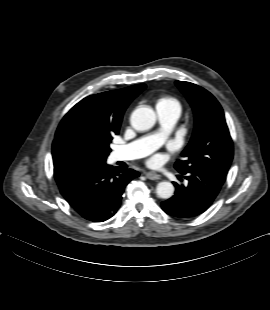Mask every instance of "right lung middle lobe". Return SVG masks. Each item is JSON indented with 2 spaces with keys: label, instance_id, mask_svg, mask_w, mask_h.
I'll use <instances>...</instances> for the list:
<instances>
[{
  "label": "right lung middle lobe",
  "instance_id": "dd1d6c3e",
  "mask_svg": "<svg viewBox=\"0 0 270 310\" xmlns=\"http://www.w3.org/2000/svg\"><path fill=\"white\" fill-rule=\"evenodd\" d=\"M87 152L84 163H103L106 161L111 149L109 144L112 140L111 135L88 132L85 136Z\"/></svg>",
  "mask_w": 270,
  "mask_h": 310
}]
</instances>
